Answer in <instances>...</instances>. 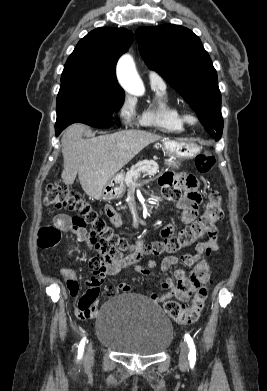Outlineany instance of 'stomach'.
Returning <instances> with one entry per match:
<instances>
[{"mask_svg":"<svg viewBox=\"0 0 267 391\" xmlns=\"http://www.w3.org/2000/svg\"><path fill=\"white\" fill-rule=\"evenodd\" d=\"M163 152L168 166L177 167L182 160L191 159L200 152V147L189 141L163 140ZM125 173L120 172L113 176L103 187L101 198L104 200L120 197L125 192Z\"/></svg>","mask_w":267,"mask_h":391,"instance_id":"stomach-1","label":"stomach"}]
</instances>
